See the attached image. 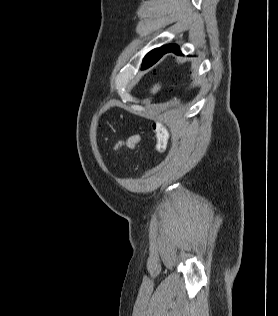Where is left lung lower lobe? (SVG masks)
I'll list each match as a JSON object with an SVG mask.
<instances>
[{"instance_id": "1", "label": "left lung lower lobe", "mask_w": 278, "mask_h": 316, "mask_svg": "<svg viewBox=\"0 0 278 316\" xmlns=\"http://www.w3.org/2000/svg\"><path fill=\"white\" fill-rule=\"evenodd\" d=\"M169 52H173V53H175V54H177V55H182V53H181L180 50H179V46H178V45H176V44H169V45L165 48V50L162 52L161 57H162L164 54L169 53ZM161 57H160V58H161Z\"/></svg>"}]
</instances>
